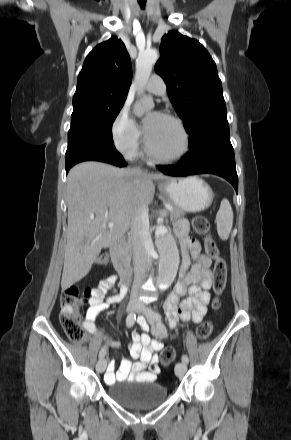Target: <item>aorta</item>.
Wrapping results in <instances>:
<instances>
[{"label": "aorta", "instance_id": "obj_1", "mask_svg": "<svg viewBox=\"0 0 291 440\" xmlns=\"http://www.w3.org/2000/svg\"><path fill=\"white\" fill-rule=\"evenodd\" d=\"M158 58L159 54L155 49L145 50L138 54L135 80L138 85L137 94L140 101L134 107V113L137 116H142L154 108L153 99L144 94V88ZM155 244L160 255L157 285L159 289L165 290L172 283L178 268V249L173 236L162 225L156 227Z\"/></svg>", "mask_w": 291, "mask_h": 440}]
</instances>
